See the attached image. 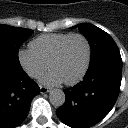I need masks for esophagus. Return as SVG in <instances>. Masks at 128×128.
<instances>
[{"instance_id":"esophagus-1","label":"esophagus","mask_w":128,"mask_h":128,"mask_svg":"<svg viewBox=\"0 0 128 128\" xmlns=\"http://www.w3.org/2000/svg\"><path fill=\"white\" fill-rule=\"evenodd\" d=\"M49 91H50L49 88H47L45 86H40V93L41 94L48 93Z\"/></svg>"}]
</instances>
